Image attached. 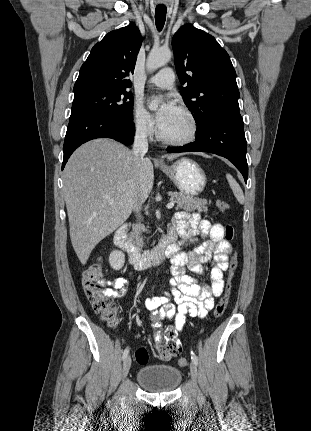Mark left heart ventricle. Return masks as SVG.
<instances>
[{"label":"left heart ventricle","mask_w":311,"mask_h":431,"mask_svg":"<svg viewBox=\"0 0 311 431\" xmlns=\"http://www.w3.org/2000/svg\"><path fill=\"white\" fill-rule=\"evenodd\" d=\"M192 122L181 110L161 129L167 139L185 138L192 133Z\"/></svg>","instance_id":"obj_1"}]
</instances>
